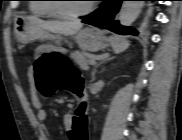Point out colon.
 <instances>
[{
	"label": "colon",
	"mask_w": 182,
	"mask_h": 140,
	"mask_svg": "<svg viewBox=\"0 0 182 140\" xmlns=\"http://www.w3.org/2000/svg\"><path fill=\"white\" fill-rule=\"evenodd\" d=\"M32 71L36 88L43 96L69 91L77 97L68 129L69 140H89L87 95L81 75L70 59L58 55L41 56L36 59Z\"/></svg>",
	"instance_id": "colon-1"
}]
</instances>
